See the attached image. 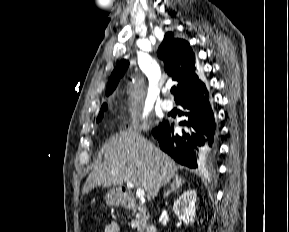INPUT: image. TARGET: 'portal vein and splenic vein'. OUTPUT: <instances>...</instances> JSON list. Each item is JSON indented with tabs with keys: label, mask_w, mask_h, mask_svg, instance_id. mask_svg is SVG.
Masks as SVG:
<instances>
[{
	"label": "portal vein and splenic vein",
	"mask_w": 289,
	"mask_h": 232,
	"mask_svg": "<svg viewBox=\"0 0 289 232\" xmlns=\"http://www.w3.org/2000/svg\"><path fill=\"white\" fill-rule=\"evenodd\" d=\"M127 186L130 187V188H134V183L131 182V181H127ZM144 195H145V191L143 188H137L136 190V196L140 199H143L144 198Z\"/></svg>",
	"instance_id": "obj_1"
}]
</instances>
